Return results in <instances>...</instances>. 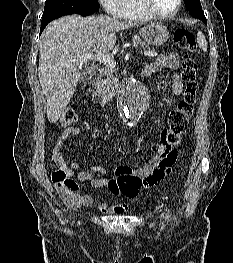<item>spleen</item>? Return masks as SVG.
I'll use <instances>...</instances> for the list:
<instances>
[{"instance_id": "obj_1", "label": "spleen", "mask_w": 233, "mask_h": 263, "mask_svg": "<svg viewBox=\"0 0 233 263\" xmlns=\"http://www.w3.org/2000/svg\"><path fill=\"white\" fill-rule=\"evenodd\" d=\"M197 42H198V45L201 49H203L204 51H207L206 39H205L204 35L202 34V32H200V31L197 34Z\"/></svg>"}]
</instances>
